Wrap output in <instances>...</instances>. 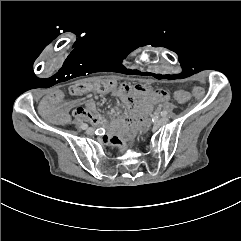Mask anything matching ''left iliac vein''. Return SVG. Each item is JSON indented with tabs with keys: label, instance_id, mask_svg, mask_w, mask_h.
I'll list each match as a JSON object with an SVG mask.
<instances>
[{
	"label": "left iliac vein",
	"instance_id": "4c4485c4",
	"mask_svg": "<svg viewBox=\"0 0 241 241\" xmlns=\"http://www.w3.org/2000/svg\"><path fill=\"white\" fill-rule=\"evenodd\" d=\"M168 121H169V119H168L167 117H161V118H157V119H156L155 124H156L157 126H162V125L167 124Z\"/></svg>",
	"mask_w": 241,
	"mask_h": 241
}]
</instances>
